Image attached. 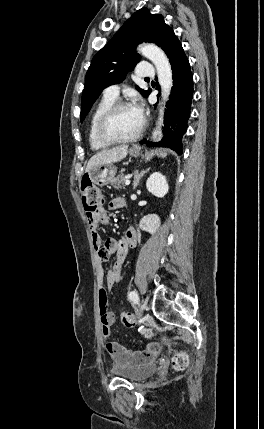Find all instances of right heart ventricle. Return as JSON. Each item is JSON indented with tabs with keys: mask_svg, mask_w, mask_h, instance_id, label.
<instances>
[{
	"mask_svg": "<svg viewBox=\"0 0 264 429\" xmlns=\"http://www.w3.org/2000/svg\"><path fill=\"white\" fill-rule=\"evenodd\" d=\"M115 102L114 99L103 97L96 105L89 121L88 129V140L93 150H102L107 148L109 145L99 140L96 133V126L101 115Z\"/></svg>",
	"mask_w": 264,
	"mask_h": 429,
	"instance_id": "obj_1",
	"label": "right heart ventricle"
}]
</instances>
